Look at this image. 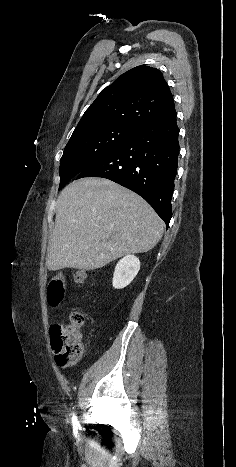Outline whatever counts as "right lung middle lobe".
I'll use <instances>...</instances> for the list:
<instances>
[{
	"label": "right lung middle lobe",
	"mask_w": 236,
	"mask_h": 467,
	"mask_svg": "<svg viewBox=\"0 0 236 467\" xmlns=\"http://www.w3.org/2000/svg\"><path fill=\"white\" fill-rule=\"evenodd\" d=\"M137 130L122 125H107L72 134L60 160L59 190L73 176L113 151Z\"/></svg>",
	"instance_id": "1"
}]
</instances>
